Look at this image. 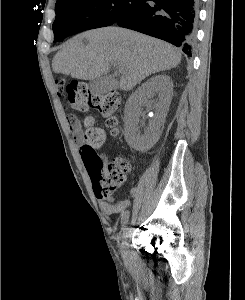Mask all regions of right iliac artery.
<instances>
[{
  "label": "right iliac artery",
  "mask_w": 245,
  "mask_h": 300,
  "mask_svg": "<svg viewBox=\"0 0 245 300\" xmlns=\"http://www.w3.org/2000/svg\"><path fill=\"white\" fill-rule=\"evenodd\" d=\"M129 215L130 212L128 210L122 213V217H121L122 229H124L125 224L128 222Z\"/></svg>",
  "instance_id": "82829eb1"
}]
</instances>
